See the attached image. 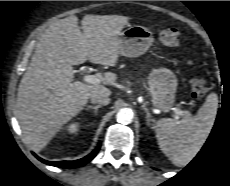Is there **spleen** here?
<instances>
[{
    "instance_id": "obj_1",
    "label": "spleen",
    "mask_w": 230,
    "mask_h": 186,
    "mask_svg": "<svg viewBox=\"0 0 230 186\" xmlns=\"http://www.w3.org/2000/svg\"><path fill=\"white\" fill-rule=\"evenodd\" d=\"M218 96L212 92L193 117L163 118L154 126L162 152L176 166H186L200 151L214 125Z\"/></svg>"
}]
</instances>
